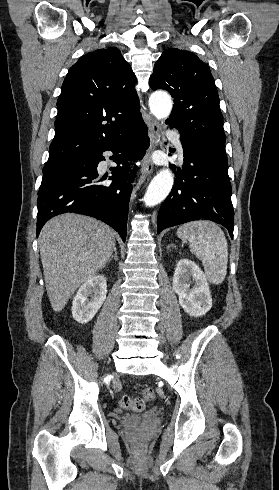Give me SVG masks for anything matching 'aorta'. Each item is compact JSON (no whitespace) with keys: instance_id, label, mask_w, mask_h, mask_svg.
Instances as JSON below:
<instances>
[{"instance_id":"obj_1","label":"aorta","mask_w":279,"mask_h":490,"mask_svg":"<svg viewBox=\"0 0 279 490\" xmlns=\"http://www.w3.org/2000/svg\"><path fill=\"white\" fill-rule=\"evenodd\" d=\"M149 107L157 119H166L172 110V100L166 92H155L149 98ZM174 176L169 169L161 170L150 182L144 196L146 206L153 207L162 202L170 193Z\"/></svg>"}]
</instances>
